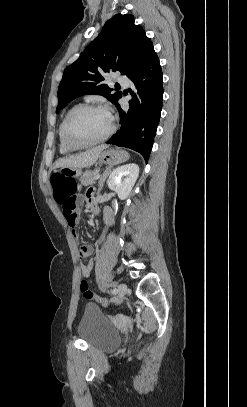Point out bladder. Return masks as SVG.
I'll use <instances>...</instances> for the list:
<instances>
[{
    "mask_svg": "<svg viewBox=\"0 0 247 407\" xmlns=\"http://www.w3.org/2000/svg\"><path fill=\"white\" fill-rule=\"evenodd\" d=\"M81 340L88 345L110 351L116 349L121 343V334L101 314V310L89 303L77 329Z\"/></svg>",
    "mask_w": 247,
    "mask_h": 407,
    "instance_id": "obj_1",
    "label": "bladder"
}]
</instances>
